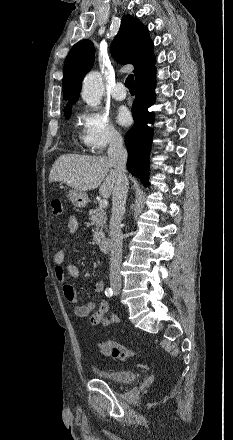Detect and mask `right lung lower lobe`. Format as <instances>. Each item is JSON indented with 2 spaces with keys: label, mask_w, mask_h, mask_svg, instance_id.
<instances>
[{
  "label": "right lung lower lobe",
  "mask_w": 233,
  "mask_h": 440,
  "mask_svg": "<svg viewBox=\"0 0 233 440\" xmlns=\"http://www.w3.org/2000/svg\"><path fill=\"white\" fill-rule=\"evenodd\" d=\"M155 69L135 82V100L132 105L133 127L125 135L128 148L127 169L139 178L144 186L148 185L149 153L152 129L147 123L152 122L153 115L148 112L155 101Z\"/></svg>",
  "instance_id": "98d812e1"
}]
</instances>
